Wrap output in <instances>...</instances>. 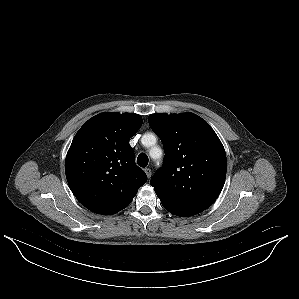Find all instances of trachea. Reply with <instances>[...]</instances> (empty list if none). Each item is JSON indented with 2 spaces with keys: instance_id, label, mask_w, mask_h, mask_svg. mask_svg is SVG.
<instances>
[{
  "instance_id": "trachea-1",
  "label": "trachea",
  "mask_w": 299,
  "mask_h": 299,
  "mask_svg": "<svg viewBox=\"0 0 299 299\" xmlns=\"http://www.w3.org/2000/svg\"><path fill=\"white\" fill-rule=\"evenodd\" d=\"M148 156L144 153H141L137 158V163L140 167H146L148 165Z\"/></svg>"
}]
</instances>
